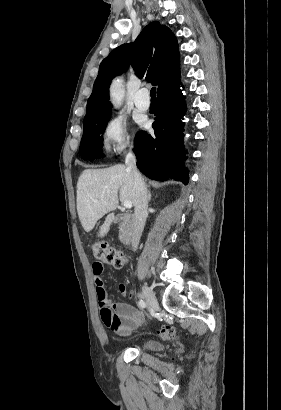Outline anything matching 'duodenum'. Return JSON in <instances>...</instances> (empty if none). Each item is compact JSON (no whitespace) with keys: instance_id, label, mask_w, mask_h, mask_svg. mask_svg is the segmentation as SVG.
<instances>
[{"instance_id":"1","label":"duodenum","mask_w":281,"mask_h":410,"mask_svg":"<svg viewBox=\"0 0 281 410\" xmlns=\"http://www.w3.org/2000/svg\"><path fill=\"white\" fill-rule=\"evenodd\" d=\"M115 221L120 222L122 226V241L124 245H129L132 240V225L135 222V216L130 213H118L115 216Z\"/></svg>"}]
</instances>
